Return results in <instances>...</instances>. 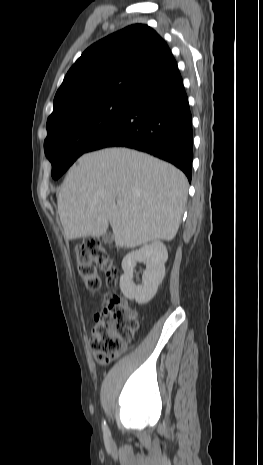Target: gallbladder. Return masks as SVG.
<instances>
[{
    "label": "gallbladder",
    "instance_id": "1",
    "mask_svg": "<svg viewBox=\"0 0 263 465\" xmlns=\"http://www.w3.org/2000/svg\"><path fill=\"white\" fill-rule=\"evenodd\" d=\"M102 237L105 243L111 244L113 242V235L110 232H106Z\"/></svg>",
    "mask_w": 263,
    "mask_h": 465
}]
</instances>
